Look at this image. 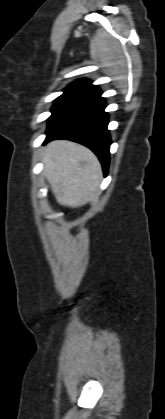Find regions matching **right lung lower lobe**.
<instances>
[{"label":"right lung lower lobe","instance_id":"98d812e1","mask_svg":"<svg viewBox=\"0 0 165 419\" xmlns=\"http://www.w3.org/2000/svg\"><path fill=\"white\" fill-rule=\"evenodd\" d=\"M101 92L83 97L52 114L48 120L46 141L68 139L89 147L100 159L105 175L111 144L108 117Z\"/></svg>","mask_w":165,"mask_h":419}]
</instances>
